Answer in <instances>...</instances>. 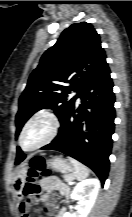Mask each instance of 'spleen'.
Here are the masks:
<instances>
[{
	"label": "spleen",
	"mask_w": 132,
	"mask_h": 217,
	"mask_svg": "<svg viewBox=\"0 0 132 217\" xmlns=\"http://www.w3.org/2000/svg\"><path fill=\"white\" fill-rule=\"evenodd\" d=\"M68 159L74 166L76 177L78 180H83L89 176V169L85 165L75 160L74 158L68 157Z\"/></svg>",
	"instance_id": "1"
}]
</instances>
